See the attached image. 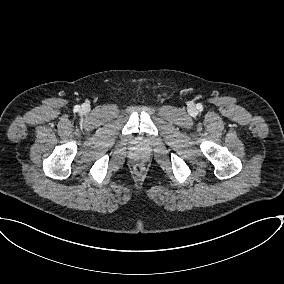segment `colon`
I'll use <instances>...</instances> for the list:
<instances>
[{"label": "colon", "mask_w": 284, "mask_h": 284, "mask_svg": "<svg viewBox=\"0 0 284 284\" xmlns=\"http://www.w3.org/2000/svg\"><path fill=\"white\" fill-rule=\"evenodd\" d=\"M142 170H143V166H142L141 164H137V165L135 166V171H136L137 173L142 172Z\"/></svg>", "instance_id": "5ec220e1"}]
</instances>
